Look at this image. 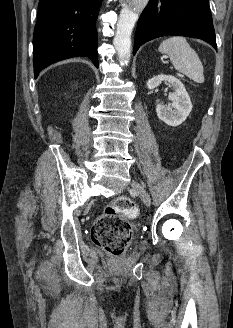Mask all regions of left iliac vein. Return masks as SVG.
<instances>
[{"instance_id": "obj_1", "label": "left iliac vein", "mask_w": 233, "mask_h": 328, "mask_svg": "<svg viewBox=\"0 0 233 328\" xmlns=\"http://www.w3.org/2000/svg\"><path fill=\"white\" fill-rule=\"evenodd\" d=\"M131 186L135 190V192L138 194V196L141 198L142 202L146 206H150L151 199H150L149 194L147 193V191L143 187V185L138 181H132Z\"/></svg>"}]
</instances>
